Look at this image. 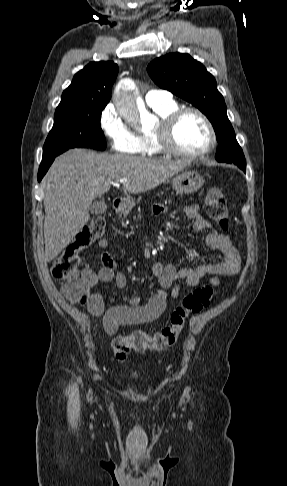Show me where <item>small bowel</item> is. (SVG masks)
Returning <instances> with one entry per match:
<instances>
[{
  "instance_id": "obj_1",
  "label": "small bowel",
  "mask_w": 287,
  "mask_h": 486,
  "mask_svg": "<svg viewBox=\"0 0 287 486\" xmlns=\"http://www.w3.org/2000/svg\"><path fill=\"white\" fill-rule=\"evenodd\" d=\"M152 212L157 217H165L167 209L162 204H155ZM188 219L194 222L196 232L207 231V245L220 253L222 261L202 263L194 268H177L170 264L156 262L152 272L157 281L153 284L156 292L146 301L142 298L125 297V304L105 310V297L101 290L93 292L88 301L87 309L96 317H103L105 331L114 335L121 326L148 324L158 319L166 307L168 297L176 299L181 292L180 281L190 287L200 284L205 275H211L210 283L217 286L222 276H232L240 271L241 258L238 250L233 246L230 236L212 230L210 223L199 213L197 205L185 208ZM103 250L101 254L102 267L95 275V284L103 286L114 282L117 287L124 288L127 284L126 275L118 270L117 263L108 252L109 241L101 239L98 243Z\"/></svg>"
}]
</instances>
